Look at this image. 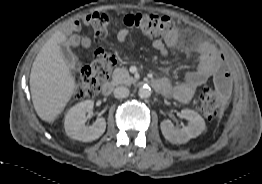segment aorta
I'll use <instances>...</instances> for the list:
<instances>
[{
	"mask_svg": "<svg viewBox=\"0 0 262 184\" xmlns=\"http://www.w3.org/2000/svg\"><path fill=\"white\" fill-rule=\"evenodd\" d=\"M138 95L141 98H148L151 96V88L148 85L140 87Z\"/></svg>",
	"mask_w": 262,
	"mask_h": 184,
	"instance_id": "obj_1",
	"label": "aorta"
}]
</instances>
